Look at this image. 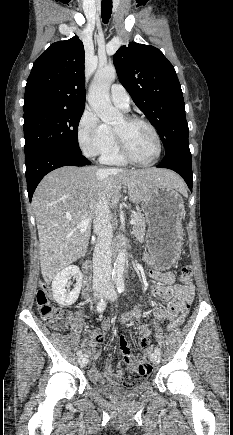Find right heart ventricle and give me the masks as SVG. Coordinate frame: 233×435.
<instances>
[{
    "label": "right heart ventricle",
    "mask_w": 233,
    "mask_h": 435,
    "mask_svg": "<svg viewBox=\"0 0 233 435\" xmlns=\"http://www.w3.org/2000/svg\"><path fill=\"white\" fill-rule=\"evenodd\" d=\"M109 132L110 144L107 150L101 155V162L106 165L112 166H125L127 161L121 156L113 131L107 126Z\"/></svg>",
    "instance_id": "obj_1"
}]
</instances>
